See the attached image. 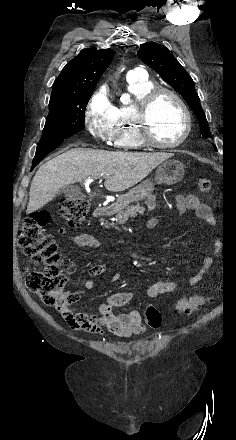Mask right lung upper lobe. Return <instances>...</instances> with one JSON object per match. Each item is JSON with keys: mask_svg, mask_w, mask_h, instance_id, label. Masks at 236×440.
<instances>
[{"mask_svg": "<svg viewBox=\"0 0 236 440\" xmlns=\"http://www.w3.org/2000/svg\"><path fill=\"white\" fill-rule=\"evenodd\" d=\"M113 56L112 49H83L67 63L54 81L49 103L67 101L92 93Z\"/></svg>", "mask_w": 236, "mask_h": 440, "instance_id": "1", "label": "right lung upper lobe"}]
</instances>
